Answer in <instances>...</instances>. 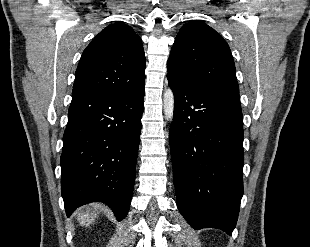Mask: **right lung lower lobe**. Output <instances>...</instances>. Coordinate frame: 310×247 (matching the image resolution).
<instances>
[{
  "label": "right lung lower lobe",
  "mask_w": 310,
  "mask_h": 247,
  "mask_svg": "<svg viewBox=\"0 0 310 247\" xmlns=\"http://www.w3.org/2000/svg\"><path fill=\"white\" fill-rule=\"evenodd\" d=\"M143 111L144 86L71 102L61 155L68 217L90 202L110 205L118 221L127 215Z\"/></svg>",
  "instance_id": "98d812e1"
}]
</instances>
